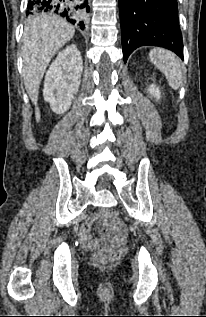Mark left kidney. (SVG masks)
I'll list each match as a JSON object with an SVG mask.
<instances>
[{"label":"left kidney","instance_id":"left-kidney-1","mask_svg":"<svg viewBox=\"0 0 206 317\" xmlns=\"http://www.w3.org/2000/svg\"><path fill=\"white\" fill-rule=\"evenodd\" d=\"M147 91L151 95V97H154L156 100H159L161 98V92L159 88L156 87V85H149Z\"/></svg>","mask_w":206,"mask_h":317}]
</instances>
